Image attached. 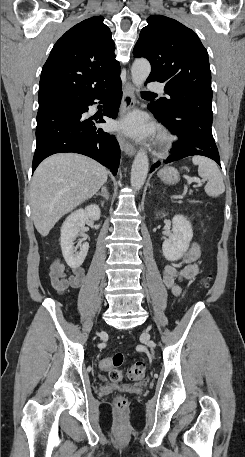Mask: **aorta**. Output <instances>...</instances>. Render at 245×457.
<instances>
[{"mask_svg":"<svg viewBox=\"0 0 245 457\" xmlns=\"http://www.w3.org/2000/svg\"><path fill=\"white\" fill-rule=\"evenodd\" d=\"M151 65L146 59H136L131 68L133 84L139 88L148 78ZM149 170L148 156L144 150H139L134 158L131 168V186L140 190L144 185Z\"/></svg>","mask_w":245,"mask_h":457,"instance_id":"aorta-1","label":"aorta"}]
</instances>
